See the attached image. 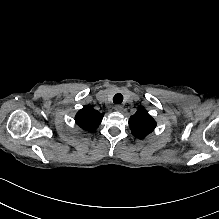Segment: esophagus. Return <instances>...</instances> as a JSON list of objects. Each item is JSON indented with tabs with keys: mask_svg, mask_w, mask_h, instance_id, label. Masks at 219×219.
<instances>
[{
	"mask_svg": "<svg viewBox=\"0 0 219 219\" xmlns=\"http://www.w3.org/2000/svg\"><path fill=\"white\" fill-rule=\"evenodd\" d=\"M115 110L118 111V112H121L123 110V106L121 105H116L115 106Z\"/></svg>",
	"mask_w": 219,
	"mask_h": 219,
	"instance_id": "obj_1",
	"label": "esophagus"
}]
</instances>
